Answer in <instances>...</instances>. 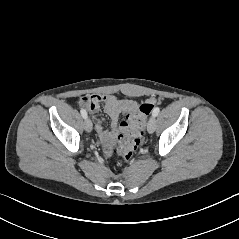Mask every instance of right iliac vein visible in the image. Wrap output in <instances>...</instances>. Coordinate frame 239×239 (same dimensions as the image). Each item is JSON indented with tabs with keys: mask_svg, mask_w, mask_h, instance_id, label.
<instances>
[{
	"mask_svg": "<svg viewBox=\"0 0 239 239\" xmlns=\"http://www.w3.org/2000/svg\"><path fill=\"white\" fill-rule=\"evenodd\" d=\"M84 129L87 132H91L93 129V124L89 118L85 119V121H84Z\"/></svg>",
	"mask_w": 239,
	"mask_h": 239,
	"instance_id": "1",
	"label": "right iliac vein"
}]
</instances>
